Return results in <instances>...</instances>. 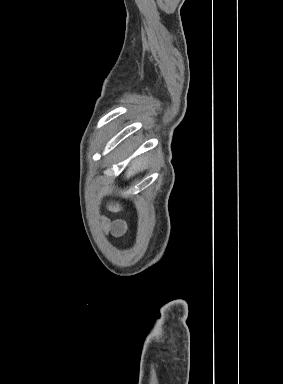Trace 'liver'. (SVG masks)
I'll use <instances>...</instances> for the list:
<instances>
[{"instance_id":"obj_1","label":"liver","mask_w":283,"mask_h":384,"mask_svg":"<svg viewBox=\"0 0 283 384\" xmlns=\"http://www.w3.org/2000/svg\"><path fill=\"white\" fill-rule=\"evenodd\" d=\"M146 166H148L145 158H138V160H134L132 162L131 166H129L125 178H132V176H135V174H138V172H142V170H145ZM109 212H120L122 210L120 204H109L107 206Z\"/></svg>"}]
</instances>
